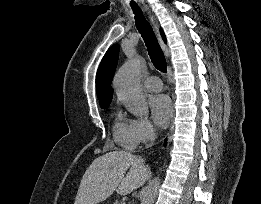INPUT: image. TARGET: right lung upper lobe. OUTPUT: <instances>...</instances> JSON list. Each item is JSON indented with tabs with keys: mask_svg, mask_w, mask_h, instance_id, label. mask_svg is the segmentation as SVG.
Returning <instances> with one entry per match:
<instances>
[{
	"mask_svg": "<svg viewBox=\"0 0 261 204\" xmlns=\"http://www.w3.org/2000/svg\"><path fill=\"white\" fill-rule=\"evenodd\" d=\"M161 35L163 40L166 42V38L162 30ZM118 58L119 45L114 44L107 50L99 65L96 77V90L99 104L111 102L112 100L113 91L111 82L116 70Z\"/></svg>",
	"mask_w": 261,
	"mask_h": 204,
	"instance_id": "right-lung-upper-lobe-1",
	"label": "right lung upper lobe"
}]
</instances>
